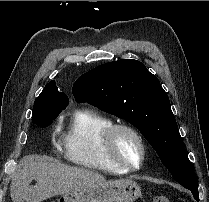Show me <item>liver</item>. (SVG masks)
Returning <instances> with one entry per match:
<instances>
[{
    "label": "liver",
    "instance_id": "liver-1",
    "mask_svg": "<svg viewBox=\"0 0 209 202\" xmlns=\"http://www.w3.org/2000/svg\"><path fill=\"white\" fill-rule=\"evenodd\" d=\"M36 181L34 186L30 185ZM105 181L101 174L69 167L48 157L25 156L19 162L10 185L13 202H41L94 183Z\"/></svg>",
    "mask_w": 209,
    "mask_h": 202
}]
</instances>
